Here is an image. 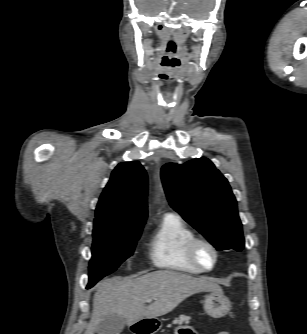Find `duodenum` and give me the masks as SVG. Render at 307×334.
<instances>
[{
  "label": "duodenum",
  "mask_w": 307,
  "mask_h": 334,
  "mask_svg": "<svg viewBox=\"0 0 307 334\" xmlns=\"http://www.w3.org/2000/svg\"><path fill=\"white\" fill-rule=\"evenodd\" d=\"M136 334H150L151 331L149 329H144V328H137L134 330Z\"/></svg>",
  "instance_id": "1"
}]
</instances>
